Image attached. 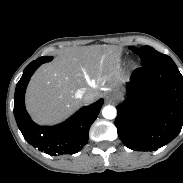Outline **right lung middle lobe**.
<instances>
[{
  "instance_id": "dd1d6c3e",
  "label": "right lung middle lobe",
  "mask_w": 183,
  "mask_h": 183,
  "mask_svg": "<svg viewBox=\"0 0 183 183\" xmlns=\"http://www.w3.org/2000/svg\"><path fill=\"white\" fill-rule=\"evenodd\" d=\"M43 58L47 60L46 62H49V61L52 60L53 57H51V56H45V57H43Z\"/></svg>"
}]
</instances>
